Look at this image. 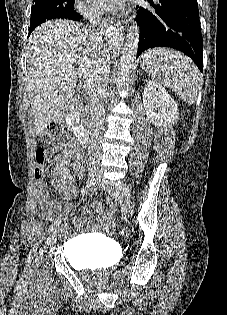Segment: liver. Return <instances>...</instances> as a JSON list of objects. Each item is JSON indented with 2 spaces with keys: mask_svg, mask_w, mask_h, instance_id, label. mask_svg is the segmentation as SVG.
Returning <instances> with one entry per match:
<instances>
[{
  "mask_svg": "<svg viewBox=\"0 0 227 315\" xmlns=\"http://www.w3.org/2000/svg\"><path fill=\"white\" fill-rule=\"evenodd\" d=\"M27 48V90L35 132L41 135L74 99V64L83 66L92 77L98 61L109 51L96 31L70 20L41 24L30 35Z\"/></svg>",
  "mask_w": 227,
  "mask_h": 315,
  "instance_id": "1",
  "label": "liver"
}]
</instances>
